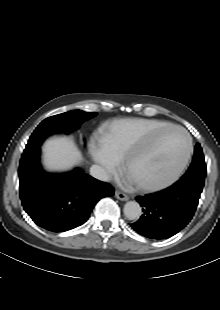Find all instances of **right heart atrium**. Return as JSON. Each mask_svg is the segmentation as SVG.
<instances>
[{"mask_svg": "<svg viewBox=\"0 0 220 310\" xmlns=\"http://www.w3.org/2000/svg\"><path fill=\"white\" fill-rule=\"evenodd\" d=\"M93 157L97 163H99L104 170L109 174H115L118 170V162L112 157L100 144L93 148Z\"/></svg>", "mask_w": 220, "mask_h": 310, "instance_id": "d8ad5b80", "label": "right heart atrium"}]
</instances>
